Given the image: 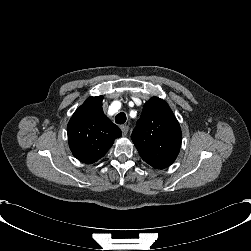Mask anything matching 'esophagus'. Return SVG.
I'll use <instances>...</instances> for the list:
<instances>
[{"instance_id": "1", "label": "esophagus", "mask_w": 251, "mask_h": 251, "mask_svg": "<svg viewBox=\"0 0 251 251\" xmlns=\"http://www.w3.org/2000/svg\"><path fill=\"white\" fill-rule=\"evenodd\" d=\"M120 129L122 131L123 136H126L127 133H128V130H129V126L128 125H122V126H120Z\"/></svg>"}]
</instances>
